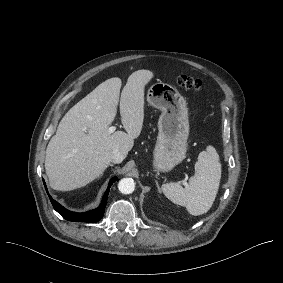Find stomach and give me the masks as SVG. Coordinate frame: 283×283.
I'll return each mask as SVG.
<instances>
[{
    "mask_svg": "<svg viewBox=\"0 0 283 283\" xmlns=\"http://www.w3.org/2000/svg\"><path fill=\"white\" fill-rule=\"evenodd\" d=\"M146 101L162 111L155 157L156 167L168 171L185 157L189 133L186 100L173 86L156 82L147 89Z\"/></svg>",
    "mask_w": 283,
    "mask_h": 283,
    "instance_id": "0dacf381",
    "label": "stomach"
}]
</instances>
